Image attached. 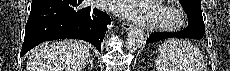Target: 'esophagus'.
Wrapping results in <instances>:
<instances>
[{
	"label": "esophagus",
	"instance_id": "obj_1",
	"mask_svg": "<svg viewBox=\"0 0 230 71\" xmlns=\"http://www.w3.org/2000/svg\"><path fill=\"white\" fill-rule=\"evenodd\" d=\"M122 28L124 31H129L132 28V24L127 21H124L122 23Z\"/></svg>",
	"mask_w": 230,
	"mask_h": 71
}]
</instances>
